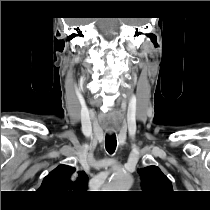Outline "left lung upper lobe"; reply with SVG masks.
I'll use <instances>...</instances> for the list:
<instances>
[{
	"instance_id": "1",
	"label": "left lung upper lobe",
	"mask_w": 210,
	"mask_h": 210,
	"mask_svg": "<svg viewBox=\"0 0 210 210\" xmlns=\"http://www.w3.org/2000/svg\"><path fill=\"white\" fill-rule=\"evenodd\" d=\"M141 186L145 193H165L172 191L171 181L157 166H148L138 170Z\"/></svg>"
}]
</instances>
